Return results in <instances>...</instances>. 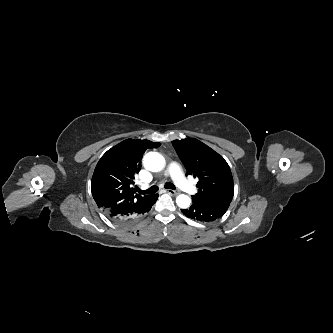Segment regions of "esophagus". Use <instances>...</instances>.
Listing matches in <instances>:
<instances>
[{
	"label": "esophagus",
	"instance_id": "esophagus-1",
	"mask_svg": "<svg viewBox=\"0 0 333 333\" xmlns=\"http://www.w3.org/2000/svg\"><path fill=\"white\" fill-rule=\"evenodd\" d=\"M166 192L169 193V194H171V195H178V194H180L179 190L167 189Z\"/></svg>",
	"mask_w": 333,
	"mask_h": 333
}]
</instances>
